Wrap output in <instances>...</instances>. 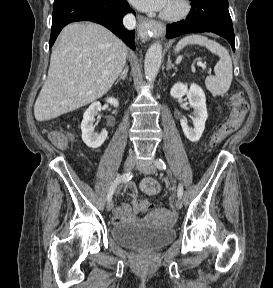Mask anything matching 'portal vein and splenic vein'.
Listing matches in <instances>:
<instances>
[{"mask_svg": "<svg viewBox=\"0 0 273 288\" xmlns=\"http://www.w3.org/2000/svg\"><path fill=\"white\" fill-rule=\"evenodd\" d=\"M197 65L200 66V67H205V64L202 63L201 61H199V62L197 63Z\"/></svg>", "mask_w": 273, "mask_h": 288, "instance_id": "18ae733b", "label": "portal vein and splenic vein"}]
</instances>
